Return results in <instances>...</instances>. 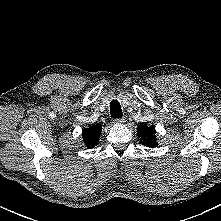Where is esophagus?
Here are the masks:
<instances>
[{
  "label": "esophagus",
  "instance_id": "obj_1",
  "mask_svg": "<svg viewBox=\"0 0 221 221\" xmlns=\"http://www.w3.org/2000/svg\"><path fill=\"white\" fill-rule=\"evenodd\" d=\"M124 122H125L124 118H118L114 120V123H124Z\"/></svg>",
  "mask_w": 221,
  "mask_h": 221
}]
</instances>
